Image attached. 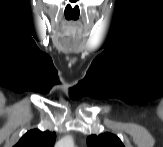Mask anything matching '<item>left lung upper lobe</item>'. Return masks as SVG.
Instances as JSON below:
<instances>
[{
    "label": "left lung upper lobe",
    "mask_w": 163,
    "mask_h": 147,
    "mask_svg": "<svg viewBox=\"0 0 163 147\" xmlns=\"http://www.w3.org/2000/svg\"><path fill=\"white\" fill-rule=\"evenodd\" d=\"M89 147H124L121 140L114 134L104 133L101 135H91L87 138Z\"/></svg>",
    "instance_id": "1"
}]
</instances>
